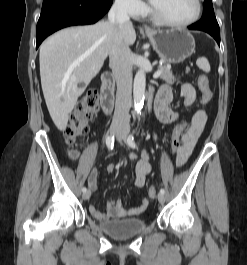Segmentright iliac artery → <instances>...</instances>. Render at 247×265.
<instances>
[{
    "label": "right iliac artery",
    "mask_w": 247,
    "mask_h": 265,
    "mask_svg": "<svg viewBox=\"0 0 247 265\" xmlns=\"http://www.w3.org/2000/svg\"><path fill=\"white\" fill-rule=\"evenodd\" d=\"M106 145H107V147L109 148V149H113V146H114V136H107V138H106ZM82 191L83 192H86L87 191V189H86V187H83L82 188Z\"/></svg>",
    "instance_id": "obj_1"
}]
</instances>
